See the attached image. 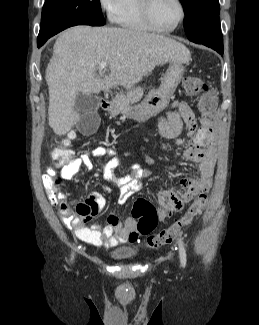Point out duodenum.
Masks as SVG:
<instances>
[{
    "label": "duodenum",
    "instance_id": "410a0bca",
    "mask_svg": "<svg viewBox=\"0 0 259 325\" xmlns=\"http://www.w3.org/2000/svg\"><path fill=\"white\" fill-rule=\"evenodd\" d=\"M99 105L103 110H108L110 108V103L104 98L99 100Z\"/></svg>",
    "mask_w": 259,
    "mask_h": 325
}]
</instances>
